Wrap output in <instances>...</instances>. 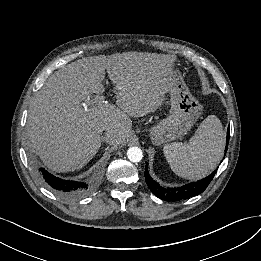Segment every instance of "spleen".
Masks as SVG:
<instances>
[{
	"label": "spleen",
	"mask_w": 261,
	"mask_h": 261,
	"mask_svg": "<svg viewBox=\"0 0 261 261\" xmlns=\"http://www.w3.org/2000/svg\"><path fill=\"white\" fill-rule=\"evenodd\" d=\"M224 135L221 121L209 115L189 143L174 142L163 147L172 171L186 179H200L214 170L221 160Z\"/></svg>",
	"instance_id": "3e777b00"
}]
</instances>
